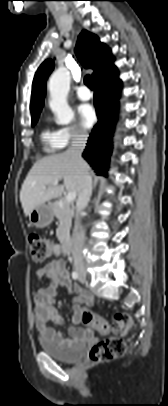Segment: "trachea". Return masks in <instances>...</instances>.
Here are the masks:
<instances>
[{"mask_svg": "<svg viewBox=\"0 0 168 406\" xmlns=\"http://www.w3.org/2000/svg\"><path fill=\"white\" fill-rule=\"evenodd\" d=\"M84 83H85V85H86L88 88H90L91 90L94 89L93 79H92V77H91L90 75H86V76L84 77Z\"/></svg>", "mask_w": 168, "mask_h": 406, "instance_id": "obj_1", "label": "trachea"}]
</instances>
